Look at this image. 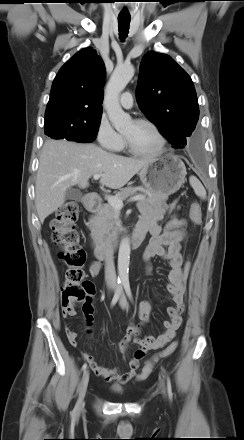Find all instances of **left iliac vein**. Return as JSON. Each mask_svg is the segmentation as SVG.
<instances>
[{
	"label": "left iliac vein",
	"instance_id": "left-iliac-vein-1",
	"mask_svg": "<svg viewBox=\"0 0 244 440\" xmlns=\"http://www.w3.org/2000/svg\"><path fill=\"white\" fill-rule=\"evenodd\" d=\"M120 306L123 309H127L128 308V303H127L126 297H125L123 292H121ZM162 389H163V394H164V385L163 384H162Z\"/></svg>",
	"mask_w": 244,
	"mask_h": 440
}]
</instances>
